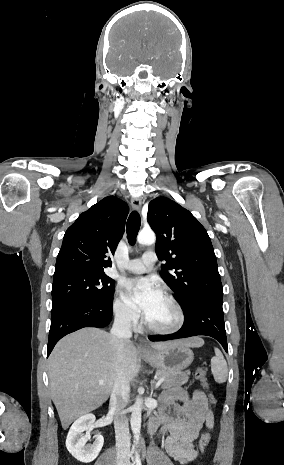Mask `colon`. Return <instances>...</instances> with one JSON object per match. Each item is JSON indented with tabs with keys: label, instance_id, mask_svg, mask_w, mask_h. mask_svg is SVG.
<instances>
[{
	"label": "colon",
	"instance_id": "colon-1",
	"mask_svg": "<svg viewBox=\"0 0 284 465\" xmlns=\"http://www.w3.org/2000/svg\"><path fill=\"white\" fill-rule=\"evenodd\" d=\"M195 375H196V378L203 383L204 387L206 389H208L207 376H206L205 370L203 368H198L196 370ZM210 400H211V404H213V402H214L213 396H210ZM199 445H200V447L204 448L201 451L202 452V457L206 458L207 454L209 453V450L205 449V448H208L211 445L210 437L207 435V433L203 434V436L201 437V439L199 441Z\"/></svg>",
	"mask_w": 284,
	"mask_h": 465
}]
</instances>
